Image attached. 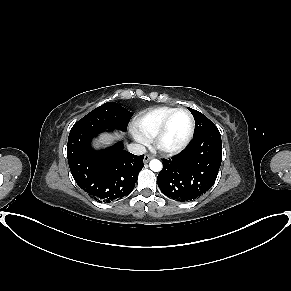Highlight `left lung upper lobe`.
<instances>
[{"instance_id": "5c2ea615", "label": "left lung upper lobe", "mask_w": 291, "mask_h": 291, "mask_svg": "<svg viewBox=\"0 0 291 291\" xmlns=\"http://www.w3.org/2000/svg\"><path fill=\"white\" fill-rule=\"evenodd\" d=\"M188 109L192 113L195 120V130L193 138L205 134L209 131L218 130L214 123H212L205 115L194 109Z\"/></svg>"}]
</instances>
